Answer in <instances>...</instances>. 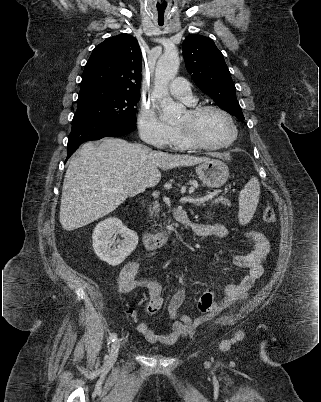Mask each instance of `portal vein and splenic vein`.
I'll return each instance as SVG.
<instances>
[{
    "mask_svg": "<svg viewBox=\"0 0 321 402\" xmlns=\"http://www.w3.org/2000/svg\"><path fill=\"white\" fill-rule=\"evenodd\" d=\"M118 190L119 189L116 188V189H113L112 191L116 192ZM217 194H218V192H212V193H209L208 195L200 197V198H194L192 196H187V197L181 198L180 202L181 203H186V202H189V203H195V202L202 203V202H205L206 200H209V199L213 198Z\"/></svg>",
    "mask_w": 321,
    "mask_h": 402,
    "instance_id": "obj_1",
    "label": "portal vein and splenic vein"
}]
</instances>
